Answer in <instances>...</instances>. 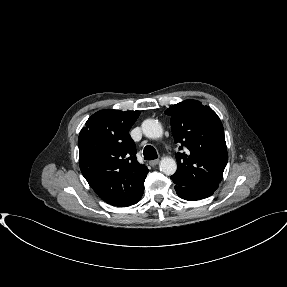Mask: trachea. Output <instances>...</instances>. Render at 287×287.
<instances>
[{"mask_svg": "<svg viewBox=\"0 0 287 287\" xmlns=\"http://www.w3.org/2000/svg\"><path fill=\"white\" fill-rule=\"evenodd\" d=\"M143 155L145 160H153L158 157L155 148L152 147L151 145H147L144 148Z\"/></svg>", "mask_w": 287, "mask_h": 287, "instance_id": "3493384b", "label": "trachea"}]
</instances>
